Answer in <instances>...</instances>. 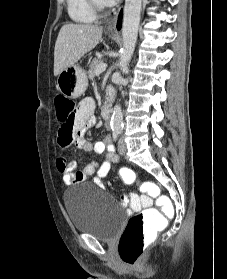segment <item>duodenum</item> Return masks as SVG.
Here are the masks:
<instances>
[{
	"label": "duodenum",
	"mask_w": 227,
	"mask_h": 279,
	"mask_svg": "<svg viewBox=\"0 0 227 279\" xmlns=\"http://www.w3.org/2000/svg\"><path fill=\"white\" fill-rule=\"evenodd\" d=\"M111 112H112V106L111 105H106L103 107L102 110V116L105 119H109L111 116Z\"/></svg>",
	"instance_id": "410a0bca"
}]
</instances>
